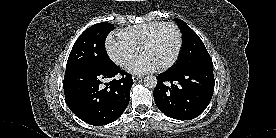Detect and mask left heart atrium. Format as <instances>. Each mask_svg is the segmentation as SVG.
<instances>
[{
    "mask_svg": "<svg viewBox=\"0 0 276 138\" xmlns=\"http://www.w3.org/2000/svg\"><path fill=\"white\" fill-rule=\"evenodd\" d=\"M160 66L148 55H141L128 66V71L134 74H145L158 70Z\"/></svg>",
    "mask_w": 276,
    "mask_h": 138,
    "instance_id": "1",
    "label": "left heart atrium"
}]
</instances>
